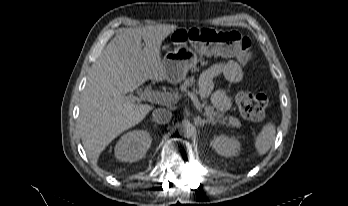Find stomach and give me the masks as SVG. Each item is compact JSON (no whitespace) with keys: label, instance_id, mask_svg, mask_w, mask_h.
Here are the masks:
<instances>
[{"label":"stomach","instance_id":"1","mask_svg":"<svg viewBox=\"0 0 348 206\" xmlns=\"http://www.w3.org/2000/svg\"><path fill=\"white\" fill-rule=\"evenodd\" d=\"M175 44V49L168 51L164 56L162 68L169 82L179 83L186 77L188 71L199 63L202 53L193 50L195 43L189 44L187 39Z\"/></svg>","mask_w":348,"mask_h":206}]
</instances>
